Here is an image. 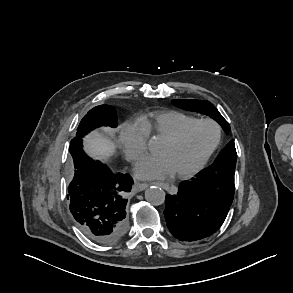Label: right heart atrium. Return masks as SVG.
Instances as JSON below:
<instances>
[{"label": "right heart atrium", "mask_w": 293, "mask_h": 293, "mask_svg": "<svg viewBox=\"0 0 293 293\" xmlns=\"http://www.w3.org/2000/svg\"><path fill=\"white\" fill-rule=\"evenodd\" d=\"M119 145L125 157L134 162L148 149V132L138 123H128L121 127Z\"/></svg>", "instance_id": "right-heart-atrium-1"}]
</instances>
